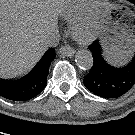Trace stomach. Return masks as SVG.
<instances>
[{
	"instance_id": "stomach-1",
	"label": "stomach",
	"mask_w": 135,
	"mask_h": 135,
	"mask_svg": "<svg viewBox=\"0 0 135 135\" xmlns=\"http://www.w3.org/2000/svg\"><path fill=\"white\" fill-rule=\"evenodd\" d=\"M102 39L113 59L117 52L135 48V14L129 8L106 3L101 17Z\"/></svg>"
}]
</instances>
